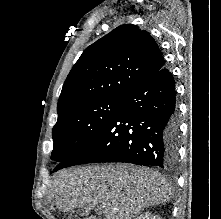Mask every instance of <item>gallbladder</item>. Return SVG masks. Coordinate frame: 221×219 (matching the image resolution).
Here are the masks:
<instances>
[{"label":"gallbladder","instance_id":"1","mask_svg":"<svg viewBox=\"0 0 221 219\" xmlns=\"http://www.w3.org/2000/svg\"><path fill=\"white\" fill-rule=\"evenodd\" d=\"M95 211L99 215L103 213V210L101 208H96ZM87 219H90V218H87Z\"/></svg>","mask_w":221,"mask_h":219}]
</instances>
